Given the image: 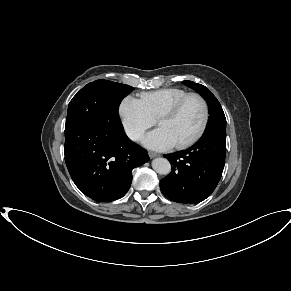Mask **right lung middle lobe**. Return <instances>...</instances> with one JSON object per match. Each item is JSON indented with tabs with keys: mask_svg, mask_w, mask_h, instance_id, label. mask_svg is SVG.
Masks as SVG:
<instances>
[{
	"mask_svg": "<svg viewBox=\"0 0 291 291\" xmlns=\"http://www.w3.org/2000/svg\"><path fill=\"white\" fill-rule=\"evenodd\" d=\"M133 87L97 80L83 87L70 101L66 122L78 121L95 126L104 121L120 120L118 108Z\"/></svg>",
	"mask_w": 291,
	"mask_h": 291,
	"instance_id": "obj_1",
	"label": "right lung middle lobe"
}]
</instances>
